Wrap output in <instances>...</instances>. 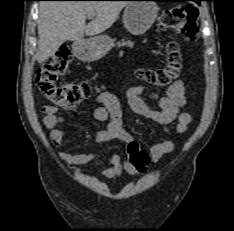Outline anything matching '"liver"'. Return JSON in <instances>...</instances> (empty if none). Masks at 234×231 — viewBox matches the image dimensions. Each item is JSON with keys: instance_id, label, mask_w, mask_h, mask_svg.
Listing matches in <instances>:
<instances>
[{"instance_id": "liver-1", "label": "liver", "mask_w": 234, "mask_h": 231, "mask_svg": "<svg viewBox=\"0 0 234 231\" xmlns=\"http://www.w3.org/2000/svg\"><path fill=\"white\" fill-rule=\"evenodd\" d=\"M126 1H43L38 19V63L51 57L66 41L100 34L117 20ZM96 18L86 25V18Z\"/></svg>"}]
</instances>
